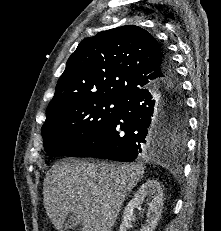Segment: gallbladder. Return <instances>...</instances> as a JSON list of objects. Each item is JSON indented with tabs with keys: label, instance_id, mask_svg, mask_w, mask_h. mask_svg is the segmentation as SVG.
Listing matches in <instances>:
<instances>
[{
	"label": "gallbladder",
	"instance_id": "bac80fb5",
	"mask_svg": "<svg viewBox=\"0 0 221 231\" xmlns=\"http://www.w3.org/2000/svg\"><path fill=\"white\" fill-rule=\"evenodd\" d=\"M80 224V219H77L75 214H69L65 222V230L70 231L75 229Z\"/></svg>",
	"mask_w": 221,
	"mask_h": 231
}]
</instances>
